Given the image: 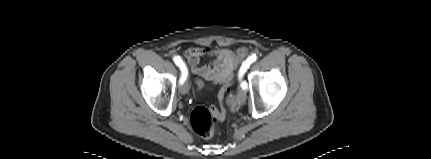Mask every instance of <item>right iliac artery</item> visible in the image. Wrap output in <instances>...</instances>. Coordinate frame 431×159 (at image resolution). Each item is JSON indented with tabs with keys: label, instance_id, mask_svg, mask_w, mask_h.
<instances>
[{
	"label": "right iliac artery",
	"instance_id": "obj_1",
	"mask_svg": "<svg viewBox=\"0 0 431 159\" xmlns=\"http://www.w3.org/2000/svg\"><path fill=\"white\" fill-rule=\"evenodd\" d=\"M173 60H174L175 64L177 66H179L180 69H181V71H182V76L180 78V83H183L186 80V77H187V74H188L186 66H185V64L183 63L182 59L179 56H175L173 58Z\"/></svg>",
	"mask_w": 431,
	"mask_h": 159
}]
</instances>
